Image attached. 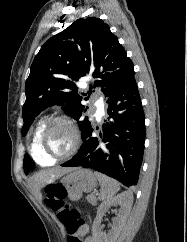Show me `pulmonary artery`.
<instances>
[{
  "label": "pulmonary artery",
  "mask_w": 187,
  "mask_h": 242,
  "mask_svg": "<svg viewBox=\"0 0 187 242\" xmlns=\"http://www.w3.org/2000/svg\"><path fill=\"white\" fill-rule=\"evenodd\" d=\"M97 107H98V113L99 115H102L103 114V108H102V105L101 104H97Z\"/></svg>",
  "instance_id": "obj_1"
}]
</instances>
